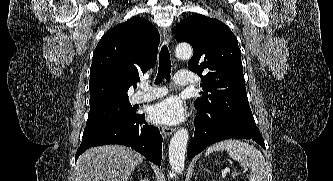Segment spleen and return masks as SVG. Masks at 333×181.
Listing matches in <instances>:
<instances>
[{"mask_svg": "<svg viewBox=\"0 0 333 181\" xmlns=\"http://www.w3.org/2000/svg\"><path fill=\"white\" fill-rule=\"evenodd\" d=\"M215 151H226L230 158L238 161L242 167L251 169L249 181H266L267 163L262 153L254 146L240 140H225L210 146L205 156Z\"/></svg>", "mask_w": 333, "mask_h": 181, "instance_id": "spleen-1", "label": "spleen"}]
</instances>
